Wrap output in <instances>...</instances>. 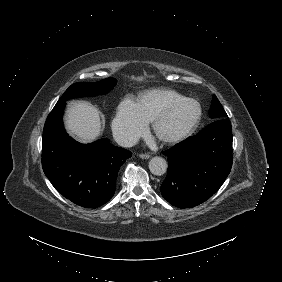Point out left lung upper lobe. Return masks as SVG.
Segmentation results:
<instances>
[{
    "label": "left lung upper lobe",
    "instance_id": "left-lung-upper-lobe-1",
    "mask_svg": "<svg viewBox=\"0 0 282 282\" xmlns=\"http://www.w3.org/2000/svg\"><path fill=\"white\" fill-rule=\"evenodd\" d=\"M209 115L213 119H221V118H227V114L224 111L223 107L221 106L219 100L215 95H213L212 102H211V108L209 110Z\"/></svg>",
    "mask_w": 282,
    "mask_h": 282
}]
</instances>
